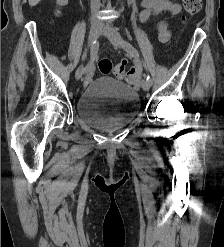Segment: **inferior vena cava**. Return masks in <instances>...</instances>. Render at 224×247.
<instances>
[{"instance_id": "obj_1", "label": "inferior vena cava", "mask_w": 224, "mask_h": 247, "mask_svg": "<svg viewBox=\"0 0 224 247\" xmlns=\"http://www.w3.org/2000/svg\"><path fill=\"white\" fill-rule=\"evenodd\" d=\"M91 2V12H92V22L98 24V26H103L101 20H98V10L100 8V0H90Z\"/></svg>"}]
</instances>
